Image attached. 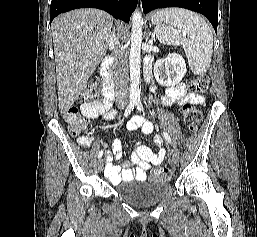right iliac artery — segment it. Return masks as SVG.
Listing matches in <instances>:
<instances>
[{"label": "right iliac artery", "mask_w": 257, "mask_h": 237, "mask_svg": "<svg viewBox=\"0 0 257 237\" xmlns=\"http://www.w3.org/2000/svg\"><path fill=\"white\" fill-rule=\"evenodd\" d=\"M135 103L134 102H130L129 105L127 106L124 116L127 117L134 109ZM103 155V150H101L98 154V158H101Z\"/></svg>", "instance_id": "1"}]
</instances>
